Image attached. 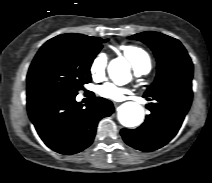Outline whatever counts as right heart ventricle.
I'll list each match as a JSON object with an SVG mask.
<instances>
[{
    "mask_svg": "<svg viewBox=\"0 0 212 183\" xmlns=\"http://www.w3.org/2000/svg\"><path fill=\"white\" fill-rule=\"evenodd\" d=\"M119 50L129 60L136 71H149L152 66L150 55L146 50L135 45H120Z\"/></svg>",
    "mask_w": 212,
    "mask_h": 183,
    "instance_id": "right-heart-ventricle-1",
    "label": "right heart ventricle"
}]
</instances>
